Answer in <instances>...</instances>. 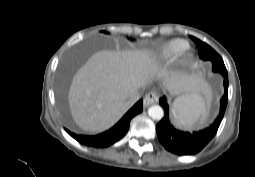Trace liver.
Masks as SVG:
<instances>
[{
	"label": "liver",
	"instance_id": "liver-1",
	"mask_svg": "<svg viewBox=\"0 0 255 177\" xmlns=\"http://www.w3.org/2000/svg\"><path fill=\"white\" fill-rule=\"evenodd\" d=\"M158 76L174 95L206 89L199 75L163 70L146 51L102 50L74 75L68 100L72 117L85 131L99 133L113 126L132 106V93Z\"/></svg>",
	"mask_w": 255,
	"mask_h": 177
}]
</instances>
